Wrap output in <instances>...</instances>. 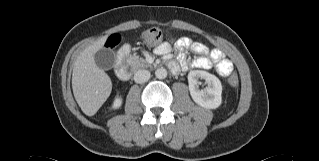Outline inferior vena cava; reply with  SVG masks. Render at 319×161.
<instances>
[{
    "label": "inferior vena cava",
    "instance_id": "obj_1",
    "mask_svg": "<svg viewBox=\"0 0 319 161\" xmlns=\"http://www.w3.org/2000/svg\"><path fill=\"white\" fill-rule=\"evenodd\" d=\"M150 78V72L148 70L140 69L134 74V81L136 83H144Z\"/></svg>",
    "mask_w": 319,
    "mask_h": 161
}]
</instances>
